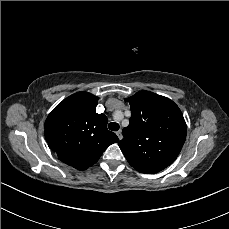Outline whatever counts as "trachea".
<instances>
[{
	"mask_svg": "<svg viewBox=\"0 0 229 229\" xmlns=\"http://www.w3.org/2000/svg\"><path fill=\"white\" fill-rule=\"evenodd\" d=\"M108 128L111 130V131H118V129L120 128V125L116 122H111L108 124Z\"/></svg>",
	"mask_w": 229,
	"mask_h": 229,
	"instance_id": "obj_1",
	"label": "trachea"
}]
</instances>
